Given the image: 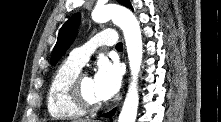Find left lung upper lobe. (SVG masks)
Listing matches in <instances>:
<instances>
[{
  "instance_id": "left-lung-upper-lobe-1",
  "label": "left lung upper lobe",
  "mask_w": 221,
  "mask_h": 122,
  "mask_svg": "<svg viewBox=\"0 0 221 122\" xmlns=\"http://www.w3.org/2000/svg\"><path fill=\"white\" fill-rule=\"evenodd\" d=\"M120 4L132 8L129 0H117ZM80 13L72 15L61 27L57 43L53 49L51 65H55L74 41L80 22Z\"/></svg>"
}]
</instances>
